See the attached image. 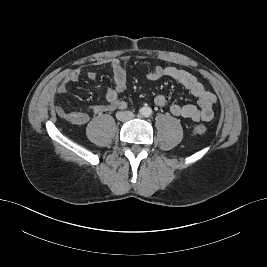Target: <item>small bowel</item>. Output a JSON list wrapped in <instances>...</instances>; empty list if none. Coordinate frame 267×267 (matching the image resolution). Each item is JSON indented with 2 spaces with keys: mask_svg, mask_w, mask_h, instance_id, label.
I'll list each match as a JSON object with an SVG mask.
<instances>
[{
  "mask_svg": "<svg viewBox=\"0 0 267 267\" xmlns=\"http://www.w3.org/2000/svg\"><path fill=\"white\" fill-rule=\"evenodd\" d=\"M129 62L128 57H115L107 60H101L95 63L97 66H108L112 71L113 86L106 89L105 104H97L90 106L91 112L95 115H101L105 112L114 110H122L127 107V103L120 96L127 87L126 66ZM80 70L73 69L67 72L62 82L56 87V93L61 96L67 92V86L79 80ZM90 80L96 79L95 72H89ZM162 78H170L184 88H186L193 96L197 98V104H179L172 103L169 105V111L172 115L180 118L191 119L194 122H207L212 120L214 116V107L217 104V97L214 93L205 89L198 79L184 69L174 66H156L147 73V79L156 81ZM154 104L159 108L168 106V100L164 95H157L154 98ZM56 113L59 117L67 119L76 125L86 124L90 117L88 113L83 111L67 112L63 106L57 105Z\"/></svg>",
  "mask_w": 267,
  "mask_h": 267,
  "instance_id": "1",
  "label": "small bowel"
}]
</instances>
